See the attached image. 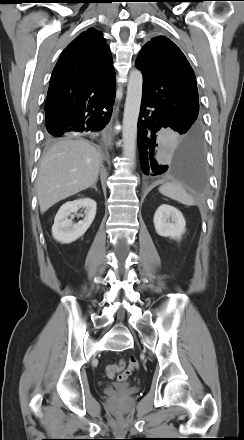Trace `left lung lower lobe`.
Segmentation results:
<instances>
[{"instance_id": "left-lung-lower-lobe-1", "label": "left lung lower lobe", "mask_w": 244, "mask_h": 440, "mask_svg": "<svg viewBox=\"0 0 244 440\" xmlns=\"http://www.w3.org/2000/svg\"><path fill=\"white\" fill-rule=\"evenodd\" d=\"M153 108L147 111L146 108ZM175 131L185 134L180 146L170 151L160 132ZM138 148L141 168L145 175L156 176L173 172L192 190H201L205 181V159L202 133L186 134L166 113L142 98L138 120Z\"/></svg>"}]
</instances>
